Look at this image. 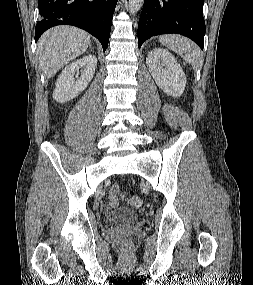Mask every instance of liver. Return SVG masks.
<instances>
[{
  "instance_id": "6515ba94",
  "label": "liver",
  "mask_w": 253,
  "mask_h": 285,
  "mask_svg": "<svg viewBox=\"0 0 253 285\" xmlns=\"http://www.w3.org/2000/svg\"><path fill=\"white\" fill-rule=\"evenodd\" d=\"M90 34L73 26H57L46 31L38 42L39 65L47 78L83 54L90 45Z\"/></svg>"
}]
</instances>
